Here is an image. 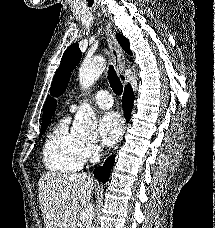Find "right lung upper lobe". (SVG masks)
<instances>
[{"label":"right lung upper lobe","mask_w":215,"mask_h":228,"mask_svg":"<svg viewBox=\"0 0 215 228\" xmlns=\"http://www.w3.org/2000/svg\"><path fill=\"white\" fill-rule=\"evenodd\" d=\"M55 109L56 101L48 97L44 105L42 124L50 123L51 117L53 116Z\"/></svg>","instance_id":"cb5924a9"}]
</instances>
